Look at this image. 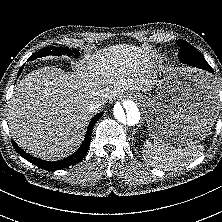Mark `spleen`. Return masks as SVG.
I'll list each match as a JSON object with an SVG mask.
<instances>
[{
  "mask_svg": "<svg viewBox=\"0 0 222 222\" xmlns=\"http://www.w3.org/2000/svg\"><path fill=\"white\" fill-rule=\"evenodd\" d=\"M142 149L143 158L148 164L154 167L174 168L187 165L201 156L204 145L174 147L156 140L146 141Z\"/></svg>",
  "mask_w": 222,
  "mask_h": 222,
  "instance_id": "3e777b00",
  "label": "spleen"
}]
</instances>
